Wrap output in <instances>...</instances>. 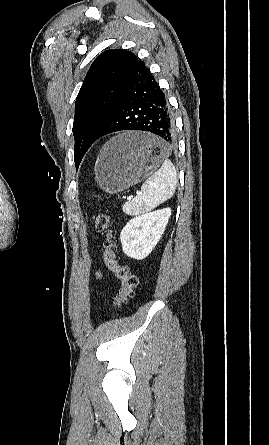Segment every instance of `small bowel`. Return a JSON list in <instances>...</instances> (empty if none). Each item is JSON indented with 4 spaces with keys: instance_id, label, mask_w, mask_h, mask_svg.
I'll return each mask as SVG.
<instances>
[{
    "instance_id": "c3829d8e",
    "label": "small bowel",
    "mask_w": 269,
    "mask_h": 445,
    "mask_svg": "<svg viewBox=\"0 0 269 445\" xmlns=\"http://www.w3.org/2000/svg\"><path fill=\"white\" fill-rule=\"evenodd\" d=\"M95 275H96L97 279H102L103 278V275H102L101 271H96Z\"/></svg>"
}]
</instances>
